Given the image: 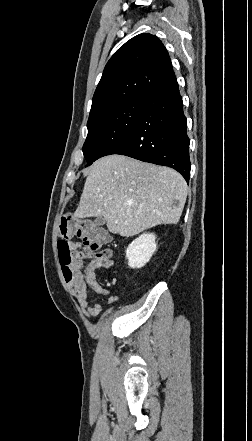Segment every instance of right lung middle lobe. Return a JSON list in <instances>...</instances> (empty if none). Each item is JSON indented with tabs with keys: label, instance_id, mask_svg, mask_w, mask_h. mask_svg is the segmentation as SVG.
Listing matches in <instances>:
<instances>
[{
	"label": "right lung middle lobe",
	"instance_id": "dd1d6c3e",
	"mask_svg": "<svg viewBox=\"0 0 252 441\" xmlns=\"http://www.w3.org/2000/svg\"><path fill=\"white\" fill-rule=\"evenodd\" d=\"M144 106L143 98L134 99L110 106L89 116L88 135L83 146L87 166L105 156L133 129Z\"/></svg>",
	"mask_w": 252,
	"mask_h": 441
}]
</instances>
